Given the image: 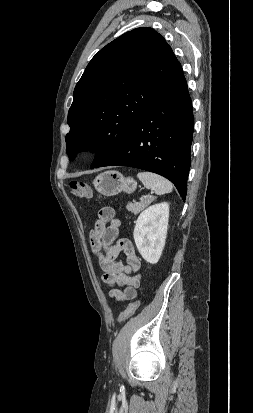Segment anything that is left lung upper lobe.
I'll use <instances>...</instances> for the list:
<instances>
[{"label": "left lung upper lobe", "instance_id": "1", "mask_svg": "<svg viewBox=\"0 0 253 413\" xmlns=\"http://www.w3.org/2000/svg\"><path fill=\"white\" fill-rule=\"evenodd\" d=\"M178 60L165 39L141 27L101 49L76 84L67 123L70 160L95 152L91 168L104 164L171 77Z\"/></svg>", "mask_w": 253, "mask_h": 413}]
</instances>
